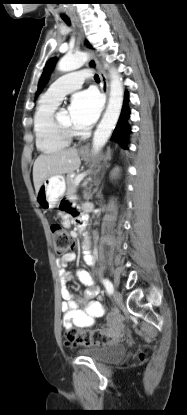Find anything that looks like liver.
I'll return each mask as SVG.
<instances>
[{
	"label": "liver",
	"instance_id": "6515ba94",
	"mask_svg": "<svg viewBox=\"0 0 187 415\" xmlns=\"http://www.w3.org/2000/svg\"><path fill=\"white\" fill-rule=\"evenodd\" d=\"M80 163L76 148L39 155L33 166V182L36 193L47 178L71 173L80 166Z\"/></svg>",
	"mask_w": 187,
	"mask_h": 415
}]
</instances>
